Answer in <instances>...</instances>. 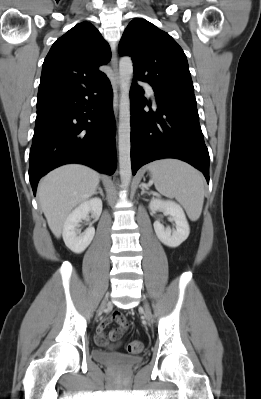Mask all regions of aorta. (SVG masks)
I'll return each mask as SVG.
<instances>
[{"instance_id": "762f6f07", "label": "aorta", "mask_w": 261, "mask_h": 399, "mask_svg": "<svg viewBox=\"0 0 261 399\" xmlns=\"http://www.w3.org/2000/svg\"><path fill=\"white\" fill-rule=\"evenodd\" d=\"M133 74V63L130 57H122L119 61L120 78V111H119V167L122 184L127 188L131 182V141H130V82Z\"/></svg>"}]
</instances>
